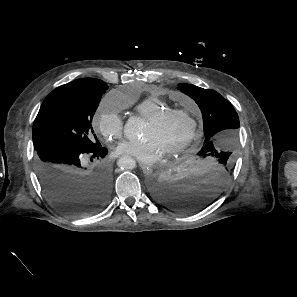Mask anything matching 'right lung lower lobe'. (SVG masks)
I'll return each mask as SVG.
<instances>
[{
    "instance_id": "obj_1",
    "label": "right lung lower lobe",
    "mask_w": 297,
    "mask_h": 297,
    "mask_svg": "<svg viewBox=\"0 0 297 297\" xmlns=\"http://www.w3.org/2000/svg\"><path fill=\"white\" fill-rule=\"evenodd\" d=\"M37 176L50 202L71 215L92 214L108 200L111 175L102 165L85 166L84 157L100 159L108 150L76 148L65 142H49L36 148Z\"/></svg>"
}]
</instances>
